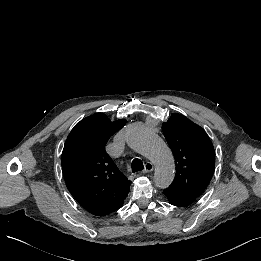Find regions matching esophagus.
<instances>
[{"label": "esophagus", "instance_id": "esophagus-1", "mask_svg": "<svg viewBox=\"0 0 261 261\" xmlns=\"http://www.w3.org/2000/svg\"><path fill=\"white\" fill-rule=\"evenodd\" d=\"M153 164L151 162H146L145 166H144V170L143 173H149L153 170Z\"/></svg>", "mask_w": 261, "mask_h": 261}]
</instances>
